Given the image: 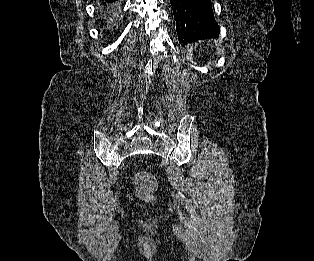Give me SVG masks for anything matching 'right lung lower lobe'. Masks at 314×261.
I'll return each mask as SVG.
<instances>
[{
  "instance_id": "98d812e1",
  "label": "right lung lower lobe",
  "mask_w": 314,
  "mask_h": 261,
  "mask_svg": "<svg viewBox=\"0 0 314 261\" xmlns=\"http://www.w3.org/2000/svg\"><path fill=\"white\" fill-rule=\"evenodd\" d=\"M117 0H101V9L102 14L105 16L109 21L113 18L116 7L115 3Z\"/></svg>"
}]
</instances>
